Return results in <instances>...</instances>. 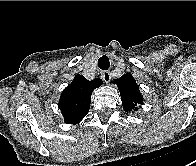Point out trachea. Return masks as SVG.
Returning a JSON list of instances; mask_svg holds the SVG:
<instances>
[{
	"instance_id": "3493384b",
	"label": "trachea",
	"mask_w": 196,
	"mask_h": 166,
	"mask_svg": "<svg viewBox=\"0 0 196 166\" xmlns=\"http://www.w3.org/2000/svg\"><path fill=\"white\" fill-rule=\"evenodd\" d=\"M110 66L109 59L106 56H102L98 60V67L102 70H107Z\"/></svg>"
}]
</instances>
